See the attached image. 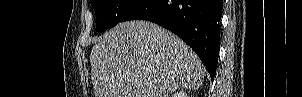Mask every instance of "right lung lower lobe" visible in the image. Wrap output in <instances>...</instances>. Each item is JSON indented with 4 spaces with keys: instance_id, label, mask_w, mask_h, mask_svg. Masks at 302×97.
<instances>
[{
    "instance_id": "1",
    "label": "right lung lower lobe",
    "mask_w": 302,
    "mask_h": 97,
    "mask_svg": "<svg viewBox=\"0 0 302 97\" xmlns=\"http://www.w3.org/2000/svg\"><path fill=\"white\" fill-rule=\"evenodd\" d=\"M222 0H141L123 18L154 22L184 40L214 80L218 63Z\"/></svg>"
}]
</instances>
